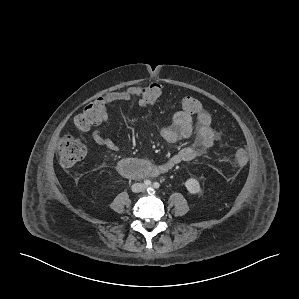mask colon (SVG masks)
<instances>
[{
	"instance_id": "colon-1",
	"label": "colon",
	"mask_w": 299,
	"mask_h": 299,
	"mask_svg": "<svg viewBox=\"0 0 299 299\" xmlns=\"http://www.w3.org/2000/svg\"><path fill=\"white\" fill-rule=\"evenodd\" d=\"M137 94L148 104L155 102L161 94V88L157 84H149L137 87ZM183 111L188 114H195L201 109L197 99L192 96H185L181 101ZM104 112V105L98 99L84 107L81 113L74 118V125L78 130L87 131L92 126L99 124ZM58 153L62 165L71 167L81 161L86 153V144L74 136H64L59 140ZM247 163V154L243 149L235 152L231 165L235 168H242Z\"/></svg>"
}]
</instances>
